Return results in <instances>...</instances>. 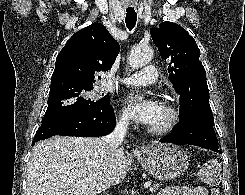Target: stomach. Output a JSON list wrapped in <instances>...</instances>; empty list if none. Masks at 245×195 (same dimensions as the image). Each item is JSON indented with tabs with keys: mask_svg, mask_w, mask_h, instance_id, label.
<instances>
[{
	"mask_svg": "<svg viewBox=\"0 0 245 195\" xmlns=\"http://www.w3.org/2000/svg\"><path fill=\"white\" fill-rule=\"evenodd\" d=\"M135 157L148 174L158 180H170L188 168V156L174 144L144 146Z\"/></svg>",
	"mask_w": 245,
	"mask_h": 195,
	"instance_id": "1",
	"label": "stomach"
}]
</instances>
